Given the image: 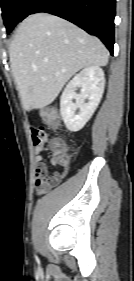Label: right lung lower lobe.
Wrapping results in <instances>:
<instances>
[{"mask_svg": "<svg viewBox=\"0 0 134 281\" xmlns=\"http://www.w3.org/2000/svg\"><path fill=\"white\" fill-rule=\"evenodd\" d=\"M46 12L64 18L95 35L113 54L115 0H33L24 18Z\"/></svg>", "mask_w": 134, "mask_h": 281, "instance_id": "right-lung-lower-lobe-1", "label": "right lung lower lobe"}]
</instances>
